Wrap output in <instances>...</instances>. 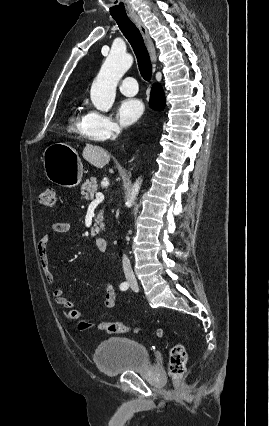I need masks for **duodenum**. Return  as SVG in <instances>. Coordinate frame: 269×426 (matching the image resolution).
<instances>
[{
	"label": "duodenum",
	"instance_id": "obj_1",
	"mask_svg": "<svg viewBox=\"0 0 269 426\" xmlns=\"http://www.w3.org/2000/svg\"><path fill=\"white\" fill-rule=\"evenodd\" d=\"M96 246L102 252L107 251V249H108V241H107V239L103 238V237H98L96 239Z\"/></svg>",
	"mask_w": 269,
	"mask_h": 426
}]
</instances>
